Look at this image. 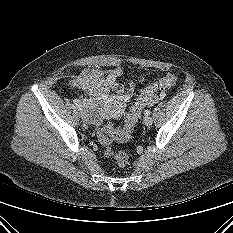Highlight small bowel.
Listing matches in <instances>:
<instances>
[{"mask_svg":"<svg viewBox=\"0 0 233 233\" xmlns=\"http://www.w3.org/2000/svg\"><path fill=\"white\" fill-rule=\"evenodd\" d=\"M122 76L123 70L120 68L111 69L105 74H101L95 69H88L73 78L70 84L73 88L103 102L113 116H119L124 110L137 81L132 79L124 87L119 82ZM111 92L116 93L115 97H110Z\"/></svg>","mask_w":233,"mask_h":233,"instance_id":"small-bowel-1","label":"small bowel"}]
</instances>
